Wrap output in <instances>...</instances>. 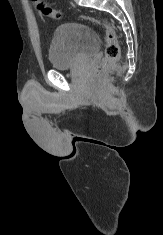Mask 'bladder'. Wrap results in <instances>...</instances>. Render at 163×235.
Instances as JSON below:
<instances>
[{
  "instance_id": "31cf9c89",
  "label": "bladder",
  "mask_w": 163,
  "mask_h": 235,
  "mask_svg": "<svg viewBox=\"0 0 163 235\" xmlns=\"http://www.w3.org/2000/svg\"><path fill=\"white\" fill-rule=\"evenodd\" d=\"M96 32L81 23H66L54 31L49 46V59L54 69L76 66L99 49Z\"/></svg>"
}]
</instances>
